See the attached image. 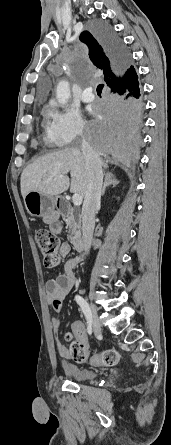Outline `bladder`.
Masks as SVG:
<instances>
[{
    "mask_svg": "<svg viewBox=\"0 0 171 445\" xmlns=\"http://www.w3.org/2000/svg\"><path fill=\"white\" fill-rule=\"evenodd\" d=\"M67 374L75 381L83 382L95 377L96 373L90 369H82L74 366L67 368Z\"/></svg>",
    "mask_w": 171,
    "mask_h": 445,
    "instance_id": "31cf9c89",
    "label": "bladder"
}]
</instances>
